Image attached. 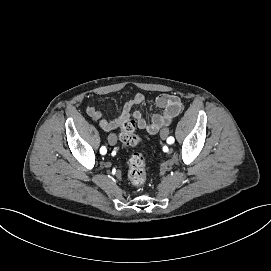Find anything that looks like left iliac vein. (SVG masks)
Here are the masks:
<instances>
[{
  "label": "left iliac vein",
  "instance_id": "1",
  "mask_svg": "<svg viewBox=\"0 0 271 271\" xmlns=\"http://www.w3.org/2000/svg\"><path fill=\"white\" fill-rule=\"evenodd\" d=\"M168 134H169V129L168 128H163L161 131H160V136L163 138V139H166L168 137Z\"/></svg>",
  "mask_w": 271,
  "mask_h": 271
}]
</instances>
